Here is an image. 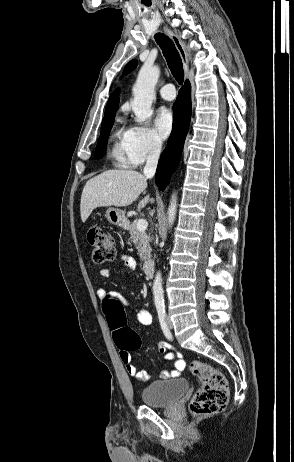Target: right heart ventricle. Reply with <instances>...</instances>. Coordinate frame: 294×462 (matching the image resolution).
I'll return each mask as SVG.
<instances>
[{
  "label": "right heart ventricle",
  "instance_id": "1",
  "mask_svg": "<svg viewBox=\"0 0 294 462\" xmlns=\"http://www.w3.org/2000/svg\"><path fill=\"white\" fill-rule=\"evenodd\" d=\"M127 130L117 127L111 135V146L109 157L114 166L119 168H127L131 166L129 157L126 151Z\"/></svg>",
  "mask_w": 294,
  "mask_h": 462
}]
</instances>
